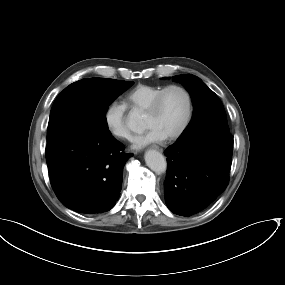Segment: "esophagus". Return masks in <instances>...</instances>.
I'll list each match as a JSON object with an SVG mask.
<instances>
[{"instance_id": "esophagus-1", "label": "esophagus", "mask_w": 285, "mask_h": 285, "mask_svg": "<svg viewBox=\"0 0 285 285\" xmlns=\"http://www.w3.org/2000/svg\"><path fill=\"white\" fill-rule=\"evenodd\" d=\"M153 148L154 149H156V150H158V151H160V152H162L163 151V149L162 148H160L159 146H157V145H154L153 146Z\"/></svg>"}]
</instances>
